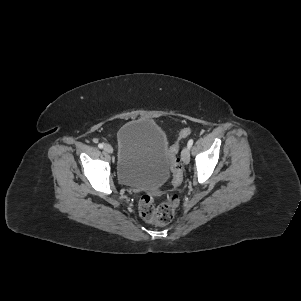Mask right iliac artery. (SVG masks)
<instances>
[{
    "instance_id": "right-iliac-artery-1",
    "label": "right iliac artery",
    "mask_w": 301,
    "mask_h": 301,
    "mask_svg": "<svg viewBox=\"0 0 301 301\" xmlns=\"http://www.w3.org/2000/svg\"><path fill=\"white\" fill-rule=\"evenodd\" d=\"M98 147H99L100 149H102V148L104 147V144H103V143H100V144L98 145Z\"/></svg>"
}]
</instances>
